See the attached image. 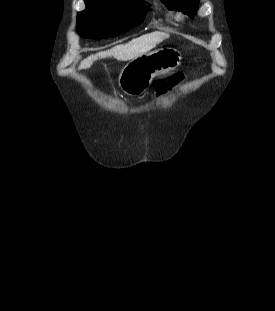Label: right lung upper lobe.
Here are the masks:
<instances>
[{"instance_id":"obj_1","label":"right lung upper lobe","mask_w":275,"mask_h":311,"mask_svg":"<svg viewBox=\"0 0 275 311\" xmlns=\"http://www.w3.org/2000/svg\"><path fill=\"white\" fill-rule=\"evenodd\" d=\"M123 1H133V0H85V4L98 3V2H123Z\"/></svg>"}]
</instances>
